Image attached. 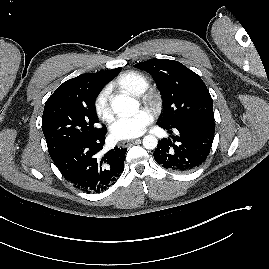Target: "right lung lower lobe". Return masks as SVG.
I'll return each instance as SVG.
<instances>
[{
	"mask_svg": "<svg viewBox=\"0 0 269 269\" xmlns=\"http://www.w3.org/2000/svg\"><path fill=\"white\" fill-rule=\"evenodd\" d=\"M107 130L72 143L52 158L63 177L86 193H100L115 184L124 170L127 149L115 147L100 157Z\"/></svg>",
	"mask_w": 269,
	"mask_h": 269,
	"instance_id": "obj_1",
	"label": "right lung lower lobe"
}]
</instances>
